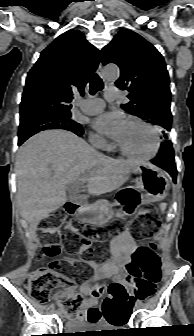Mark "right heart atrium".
<instances>
[{
	"label": "right heart atrium",
	"instance_id": "obj_1",
	"mask_svg": "<svg viewBox=\"0 0 194 336\" xmlns=\"http://www.w3.org/2000/svg\"><path fill=\"white\" fill-rule=\"evenodd\" d=\"M89 140L93 146L96 148L107 150L110 148V145L99 135L97 134H90Z\"/></svg>",
	"mask_w": 194,
	"mask_h": 336
}]
</instances>
